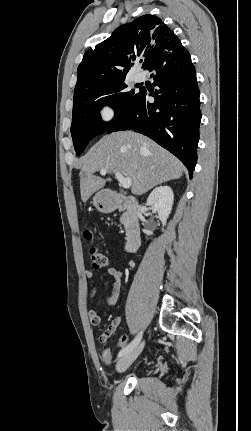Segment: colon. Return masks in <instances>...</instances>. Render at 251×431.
I'll use <instances>...</instances> for the list:
<instances>
[{
	"mask_svg": "<svg viewBox=\"0 0 251 431\" xmlns=\"http://www.w3.org/2000/svg\"><path fill=\"white\" fill-rule=\"evenodd\" d=\"M84 237L89 242H92L96 238V233L92 229H86L84 231ZM89 257L94 268H103L108 264L107 256L95 246L90 247ZM127 342H128V336L126 335L121 336L118 339L117 346H115V349L119 351L122 350L123 347L124 348L126 347ZM100 359H101V363L104 366H109V368L111 369L115 368L116 365L112 361L113 360L112 351H109V350L102 351Z\"/></svg>",
	"mask_w": 251,
	"mask_h": 431,
	"instance_id": "1",
	"label": "colon"
}]
</instances>
